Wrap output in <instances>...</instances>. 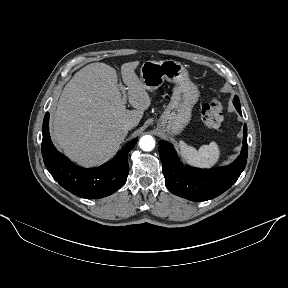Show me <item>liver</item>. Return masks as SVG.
Masks as SVG:
<instances>
[{"label":"liver","instance_id":"1","mask_svg":"<svg viewBox=\"0 0 288 288\" xmlns=\"http://www.w3.org/2000/svg\"><path fill=\"white\" fill-rule=\"evenodd\" d=\"M138 65L139 61H134L121 66L134 110L126 109L117 72L105 63L86 65L64 87L51 130L71 160L83 166L100 165L114 155L127 136L125 122H140L151 99L134 71Z\"/></svg>","mask_w":288,"mask_h":288}]
</instances>
